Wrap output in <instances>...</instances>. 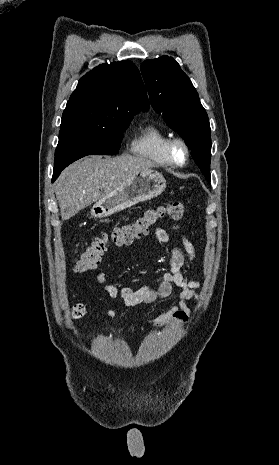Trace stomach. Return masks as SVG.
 <instances>
[{
  "mask_svg": "<svg viewBox=\"0 0 279 465\" xmlns=\"http://www.w3.org/2000/svg\"><path fill=\"white\" fill-rule=\"evenodd\" d=\"M166 188V180L157 171H142L132 176L119 188L99 199L91 209L95 218H103L123 211L140 202L160 195Z\"/></svg>",
  "mask_w": 279,
  "mask_h": 465,
  "instance_id": "1",
  "label": "stomach"
}]
</instances>
